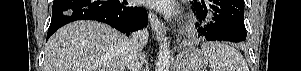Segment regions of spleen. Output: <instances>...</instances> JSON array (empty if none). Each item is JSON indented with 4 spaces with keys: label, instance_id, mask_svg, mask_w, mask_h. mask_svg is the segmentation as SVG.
Returning a JSON list of instances; mask_svg holds the SVG:
<instances>
[{
    "label": "spleen",
    "instance_id": "3e777b00",
    "mask_svg": "<svg viewBox=\"0 0 301 71\" xmlns=\"http://www.w3.org/2000/svg\"><path fill=\"white\" fill-rule=\"evenodd\" d=\"M201 51L210 63V71H249L242 54L224 43H204Z\"/></svg>",
    "mask_w": 301,
    "mask_h": 71
}]
</instances>
